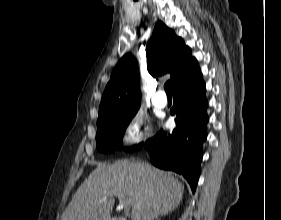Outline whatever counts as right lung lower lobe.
Returning a JSON list of instances; mask_svg holds the SVG:
<instances>
[{"label": "right lung lower lobe", "instance_id": "1", "mask_svg": "<svg viewBox=\"0 0 281 220\" xmlns=\"http://www.w3.org/2000/svg\"><path fill=\"white\" fill-rule=\"evenodd\" d=\"M171 114L176 115L172 134L160 131L145 142L153 165L182 174L193 192L200 176L202 144L207 137L205 84L202 78L173 90Z\"/></svg>", "mask_w": 281, "mask_h": 220}]
</instances>
